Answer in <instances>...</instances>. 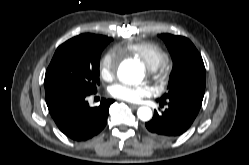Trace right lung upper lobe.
Segmentation results:
<instances>
[{"label": "right lung upper lobe", "instance_id": "right-lung-upper-lobe-1", "mask_svg": "<svg viewBox=\"0 0 249 165\" xmlns=\"http://www.w3.org/2000/svg\"><path fill=\"white\" fill-rule=\"evenodd\" d=\"M88 35L92 36L95 39L104 40V41L109 39V37L101 36V35H94V34H88Z\"/></svg>", "mask_w": 249, "mask_h": 165}]
</instances>
